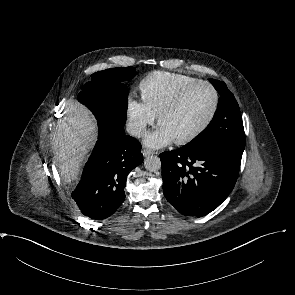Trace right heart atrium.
I'll return each instance as SVG.
<instances>
[{
  "label": "right heart atrium",
  "instance_id": "1",
  "mask_svg": "<svg viewBox=\"0 0 295 295\" xmlns=\"http://www.w3.org/2000/svg\"><path fill=\"white\" fill-rule=\"evenodd\" d=\"M126 111L129 131L136 137L143 135L147 127L155 122L157 116L143 99L139 100L132 96L127 99Z\"/></svg>",
  "mask_w": 295,
  "mask_h": 295
}]
</instances>
